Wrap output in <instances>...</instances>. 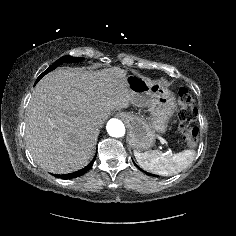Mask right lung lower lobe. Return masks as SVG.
<instances>
[{"label": "right lung lower lobe", "mask_w": 236, "mask_h": 236, "mask_svg": "<svg viewBox=\"0 0 236 236\" xmlns=\"http://www.w3.org/2000/svg\"><path fill=\"white\" fill-rule=\"evenodd\" d=\"M94 160H95V158H94L85 168H83V169H81V170H78V171H76V172L69 173V174H63V175H56V174H55L54 176L60 177V178H62V179L76 178V177L81 176V175H83L84 173H86V172L91 168V166L93 165Z\"/></svg>", "instance_id": "1"}]
</instances>
